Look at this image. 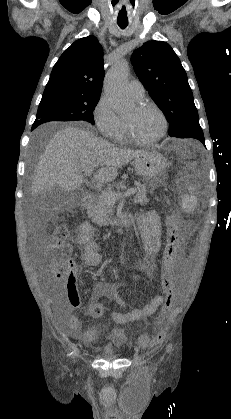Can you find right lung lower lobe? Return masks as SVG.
<instances>
[{
    "label": "right lung lower lobe",
    "mask_w": 231,
    "mask_h": 419,
    "mask_svg": "<svg viewBox=\"0 0 231 419\" xmlns=\"http://www.w3.org/2000/svg\"><path fill=\"white\" fill-rule=\"evenodd\" d=\"M35 128H36V126H34V125H33V126H32V130H34Z\"/></svg>",
    "instance_id": "98d812e1"
}]
</instances>
